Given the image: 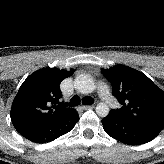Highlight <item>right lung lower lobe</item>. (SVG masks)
<instances>
[{"instance_id": "1", "label": "right lung lower lobe", "mask_w": 164, "mask_h": 164, "mask_svg": "<svg viewBox=\"0 0 164 164\" xmlns=\"http://www.w3.org/2000/svg\"><path fill=\"white\" fill-rule=\"evenodd\" d=\"M78 120L79 116L77 112L74 111L73 113L65 115L53 122L32 129L21 135L35 143L50 142L71 131Z\"/></svg>"}]
</instances>
